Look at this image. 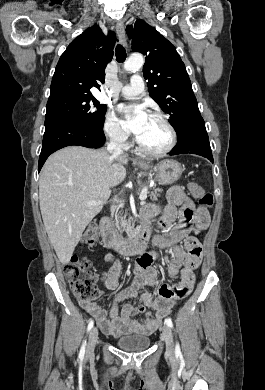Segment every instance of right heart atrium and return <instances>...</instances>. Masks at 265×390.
I'll list each match as a JSON object with an SVG mask.
<instances>
[{"label":"right heart atrium","mask_w":265,"mask_h":390,"mask_svg":"<svg viewBox=\"0 0 265 390\" xmlns=\"http://www.w3.org/2000/svg\"><path fill=\"white\" fill-rule=\"evenodd\" d=\"M104 133L106 137L121 148H127L130 143V134L113 111H108L104 120Z\"/></svg>","instance_id":"d8ad5b80"}]
</instances>
